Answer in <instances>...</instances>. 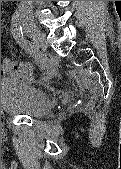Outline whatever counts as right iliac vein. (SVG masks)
Segmentation results:
<instances>
[{
  "mask_svg": "<svg viewBox=\"0 0 121 169\" xmlns=\"http://www.w3.org/2000/svg\"><path fill=\"white\" fill-rule=\"evenodd\" d=\"M23 28L30 33L35 43L42 49V51L47 50V43L45 36L42 31L37 27L31 18L24 17L22 19ZM52 75V72H49Z\"/></svg>",
  "mask_w": 121,
  "mask_h": 169,
  "instance_id": "right-iliac-vein-1",
  "label": "right iliac vein"
}]
</instances>
